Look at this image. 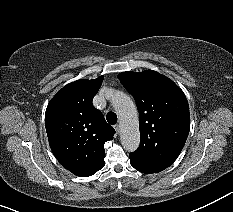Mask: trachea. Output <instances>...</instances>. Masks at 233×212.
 I'll use <instances>...</instances> for the list:
<instances>
[{
    "instance_id": "trachea-1",
    "label": "trachea",
    "mask_w": 233,
    "mask_h": 212,
    "mask_svg": "<svg viewBox=\"0 0 233 212\" xmlns=\"http://www.w3.org/2000/svg\"><path fill=\"white\" fill-rule=\"evenodd\" d=\"M106 119L109 124L114 125L117 122V115L114 112H108Z\"/></svg>"
}]
</instances>
